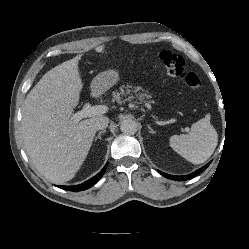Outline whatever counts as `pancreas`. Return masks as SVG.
I'll return each mask as SVG.
<instances>
[{
	"label": "pancreas",
	"mask_w": 249,
	"mask_h": 249,
	"mask_svg": "<svg viewBox=\"0 0 249 249\" xmlns=\"http://www.w3.org/2000/svg\"><path fill=\"white\" fill-rule=\"evenodd\" d=\"M130 88H133L131 91ZM145 90H143L141 87H133L132 85H127L125 89L122 87L120 88V91H113L112 96L113 100L117 103L122 102H132L135 99V96L137 97V100L134 102H144V103H155L154 100H151L152 95L144 93ZM133 92V94L131 93ZM123 97H127L126 99L122 100Z\"/></svg>",
	"instance_id": "1"
}]
</instances>
